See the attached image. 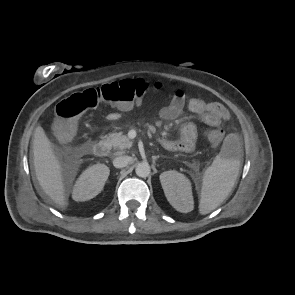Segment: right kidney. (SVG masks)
Listing matches in <instances>:
<instances>
[{
	"label": "right kidney",
	"instance_id": "obj_1",
	"mask_svg": "<svg viewBox=\"0 0 295 295\" xmlns=\"http://www.w3.org/2000/svg\"><path fill=\"white\" fill-rule=\"evenodd\" d=\"M110 170L104 164H95L88 167L78 178L73 188L75 201H87L97 196L108 179Z\"/></svg>",
	"mask_w": 295,
	"mask_h": 295
}]
</instances>
